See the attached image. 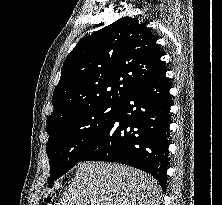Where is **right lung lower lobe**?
I'll use <instances>...</instances> for the list:
<instances>
[{"label": "right lung lower lobe", "instance_id": "98d812e1", "mask_svg": "<svg viewBox=\"0 0 222 205\" xmlns=\"http://www.w3.org/2000/svg\"><path fill=\"white\" fill-rule=\"evenodd\" d=\"M167 69L132 88L81 160L109 161L153 175L166 191L171 95Z\"/></svg>", "mask_w": 222, "mask_h": 205}]
</instances>
